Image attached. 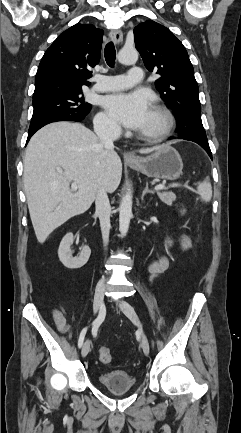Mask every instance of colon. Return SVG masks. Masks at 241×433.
I'll return each instance as SVG.
<instances>
[{
    "label": "colon",
    "instance_id": "5ec220e1",
    "mask_svg": "<svg viewBox=\"0 0 241 433\" xmlns=\"http://www.w3.org/2000/svg\"><path fill=\"white\" fill-rule=\"evenodd\" d=\"M99 359L102 363H110L112 360L111 352L108 348L102 347L99 352Z\"/></svg>",
    "mask_w": 241,
    "mask_h": 433
}]
</instances>
